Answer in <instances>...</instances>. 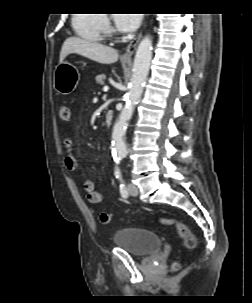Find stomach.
Returning <instances> with one entry per match:
<instances>
[{
    "mask_svg": "<svg viewBox=\"0 0 252 303\" xmlns=\"http://www.w3.org/2000/svg\"><path fill=\"white\" fill-rule=\"evenodd\" d=\"M126 64V62H124ZM80 80V73L78 69L68 62L59 63L55 69L54 74V88L62 94L68 95L72 93Z\"/></svg>",
    "mask_w": 252,
    "mask_h": 303,
    "instance_id": "stomach-1",
    "label": "stomach"
}]
</instances>
